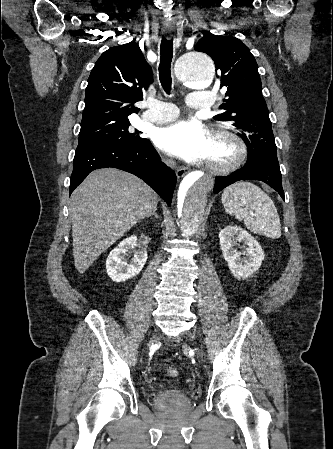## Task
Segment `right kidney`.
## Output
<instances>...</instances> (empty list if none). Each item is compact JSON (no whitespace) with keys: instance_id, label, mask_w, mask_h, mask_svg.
Here are the masks:
<instances>
[{"instance_id":"1","label":"right kidney","mask_w":333,"mask_h":449,"mask_svg":"<svg viewBox=\"0 0 333 449\" xmlns=\"http://www.w3.org/2000/svg\"><path fill=\"white\" fill-rule=\"evenodd\" d=\"M138 247L131 262L125 258V254L131 249ZM147 250L140 244L136 236L126 238L114 248L106 260V270L114 282H124L138 275L147 260Z\"/></svg>"}]
</instances>
